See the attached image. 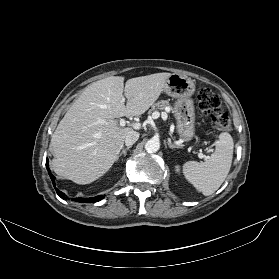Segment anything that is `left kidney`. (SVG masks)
Masks as SVG:
<instances>
[{
	"instance_id": "5707ae66",
	"label": "left kidney",
	"mask_w": 279,
	"mask_h": 279,
	"mask_svg": "<svg viewBox=\"0 0 279 279\" xmlns=\"http://www.w3.org/2000/svg\"><path fill=\"white\" fill-rule=\"evenodd\" d=\"M176 171H177V172H179V171H180L179 166H176Z\"/></svg>"
}]
</instances>
